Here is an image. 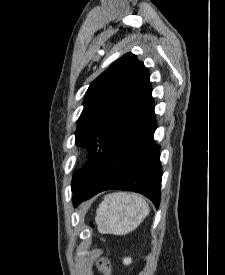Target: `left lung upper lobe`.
I'll use <instances>...</instances> for the list:
<instances>
[{
    "mask_svg": "<svg viewBox=\"0 0 225 275\" xmlns=\"http://www.w3.org/2000/svg\"><path fill=\"white\" fill-rule=\"evenodd\" d=\"M149 77L144 64L127 53L90 84L75 133L76 145L87 148L90 162L74 175L72 191L154 104Z\"/></svg>",
    "mask_w": 225,
    "mask_h": 275,
    "instance_id": "left-lung-upper-lobe-1",
    "label": "left lung upper lobe"
}]
</instances>
